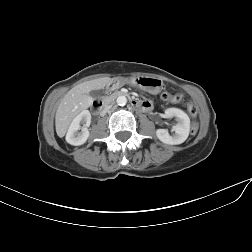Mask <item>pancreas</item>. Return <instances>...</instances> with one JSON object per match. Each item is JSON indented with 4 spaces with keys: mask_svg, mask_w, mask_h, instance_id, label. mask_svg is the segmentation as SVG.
Masks as SVG:
<instances>
[{
    "mask_svg": "<svg viewBox=\"0 0 252 252\" xmlns=\"http://www.w3.org/2000/svg\"><path fill=\"white\" fill-rule=\"evenodd\" d=\"M140 94H143L149 101H151L154 104H157V101L152 99L150 95H148L146 92L140 91Z\"/></svg>",
    "mask_w": 252,
    "mask_h": 252,
    "instance_id": "1",
    "label": "pancreas"
}]
</instances>
